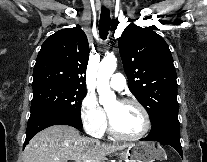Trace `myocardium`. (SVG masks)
Listing matches in <instances>:
<instances>
[{"label": "myocardium", "instance_id": "f54148a6", "mask_svg": "<svg viewBox=\"0 0 207 162\" xmlns=\"http://www.w3.org/2000/svg\"><path fill=\"white\" fill-rule=\"evenodd\" d=\"M118 102L121 105L132 104V105L137 106L140 109V111L142 112V114H143L144 126H143V129L139 133H137V134L125 135V134L120 133L115 128L112 120L109 117V128H110L111 134L114 137H116L118 139H122V140H137V139H140L143 136H145L148 133L150 127H151V119H150V115H149L146 107L140 101H138L137 99H134V98H123V99L119 100Z\"/></svg>", "mask_w": 207, "mask_h": 162}]
</instances>
